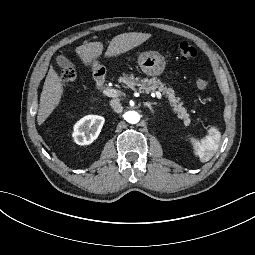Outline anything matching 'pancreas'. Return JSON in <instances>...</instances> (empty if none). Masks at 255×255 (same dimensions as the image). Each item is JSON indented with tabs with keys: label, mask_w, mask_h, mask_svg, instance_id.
I'll list each match as a JSON object with an SVG mask.
<instances>
[{
	"label": "pancreas",
	"mask_w": 255,
	"mask_h": 255,
	"mask_svg": "<svg viewBox=\"0 0 255 255\" xmlns=\"http://www.w3.org/2000/svg\"><path fill=\"white\" fill-rule=\"evenodd\" d=\"M120 81L127 85L130 89L139 93H154L159 90L167 96L172 112L177 113L179 119H183L185 125L190 124L189 114L187 110L182 107L183 102H180V98H176L172 87H167L161 80L156 79H140L133 76L120 77Z\"/></svg>",
	"instance_id": "cf45deb5"
}]
</instances>
